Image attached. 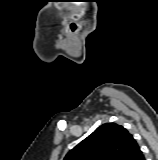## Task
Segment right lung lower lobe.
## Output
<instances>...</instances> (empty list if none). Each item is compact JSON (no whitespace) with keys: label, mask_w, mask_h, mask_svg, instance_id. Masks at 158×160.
I'll return each mask as SVG.
<instances>
[{"label":"right lung lower lobe","mask_w":158,"mask_h":160,"mask_svg":"<svg viewBox=\"0 0 158 160\" xmlns=\"http://www.w3.org/2000/svg\"><path fill=\"white\" fill-rule=\"evenodd\" d=\"M136 160H145V157L143 155V153H141L137 158Z\"/></svg>","instance_id":"1"}]
</instances>
